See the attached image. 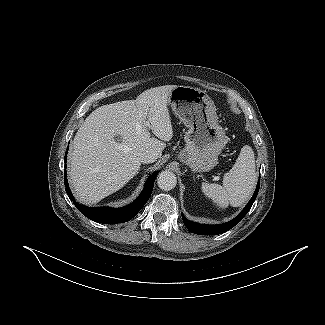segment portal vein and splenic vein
I'll use <instances>...</instances> for the list:
<instances>
[{
  "instance_id": "portal-vein-and-splenic-vein-1",
  "label": "portal vein and splenic vein",
  "mask_w": 325,
  "mask_h": 325,
  "mask_svg": "<svg viewBox=\"0 0 325 325\" xmlns=\"http://www.w3.org/2000/svg\"><path fill=\"white\" fill-rule=\"evenodd\" d=\"M145 125H146L147 127H150V124H149L148 122H146Z\"/></svg>"
}]
</instances>
